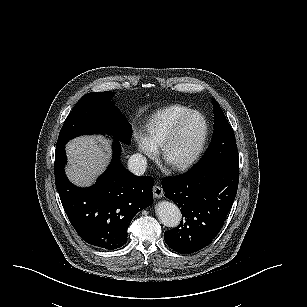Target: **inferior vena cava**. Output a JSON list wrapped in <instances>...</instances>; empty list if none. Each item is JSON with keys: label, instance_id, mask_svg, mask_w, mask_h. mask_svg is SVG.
I'll return each instance as SVG.
<instances>
[{"label": "inferior vena cava", "instance_id": "602c4592", "mask_svg": "<svg viewBox=\"0 0 307 307\" xmlns=\"http://www.w3.org/2000/svg\"><path fill=\"white\" fill-rule=\"evenodd\" d=\"M146 157L140 153L132 154L128 158V170L135 176H142L146 171Z\"/></svg>", "mask_w": 307, "mask_h": 307}]
</instances>
